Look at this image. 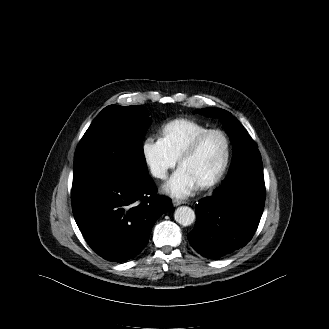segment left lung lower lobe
I'll use <instances>...</instances> for the list:
<instances>
[{"instance_id": "0a47b994", "label": "left lung lower lobe", "mask_w": 329, "mask_h": 329, "mask_svg": "<svg viewBox=\"0 0 329 329\" xmlns=\"http://www.w3.org/2000/svg\"><path fill=\"white\" fill-rule=\"evenodd\" d=\"M218 197L196 205V223L188 233L190 245L202 256L217 259L244 247L256 231L265 203L260 161H237Z\"/></svg>"}]
</instances>
